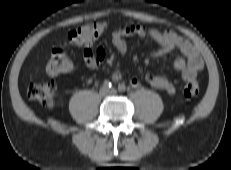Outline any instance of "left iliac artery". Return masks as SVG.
<instances>
[{"instance_id":"obj_1","label":"left iliac artery","mask_w":231,"mask_h":170,"mask_svg":"<svg viewBox=\"0 0 231 170\" xmlns=\"http://www.w3.org/2000/svg\"><path fill=\"white\" fill-rule=\"evenodd\" d=\"M126 90V86L124 84H119L118 85V91L119 92H125Z\"/></svg>"}]
</instances>
